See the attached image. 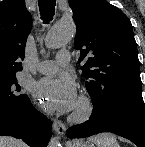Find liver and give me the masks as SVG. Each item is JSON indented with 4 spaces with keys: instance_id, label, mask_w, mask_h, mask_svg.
<instances>
[{
    "instance_id": "6515ba94",
    "label": "liver",
    "mask_w": 145,
    "mask_h": 147,
    "mask_svg": "<svg viewBox=\"0 0 145 147\" xmlns=\"http://www.w3.org/2000/svg\"><path fill=\"white\" fill-rule=\"evenodd\" d=\"M0 147H27L21 140L0 136Z\"/></svg>"
}]
</instances>
